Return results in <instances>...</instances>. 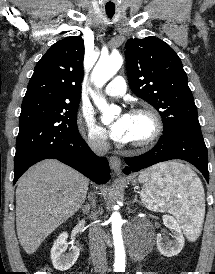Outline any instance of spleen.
<instances>
[{
	"mask_svg": "<svg viewBox=\"0 0 215 274\" xmlns=\"http://www.w3.org/2000/svg\"><path fill=\"white\" fill-rule=\"evenodd\" d=\"M138 179L144 184L140 194L143 204L174 215L187 237L195 239L192 227H200L205 213L204 189L196 174L179 163H162L142 171Z\"/></svg>",
	"mask_w": 215,
	"mask_h": 274,
	"instance_id": "obj_1",
	"label": "spleen"
}]
</instances>
